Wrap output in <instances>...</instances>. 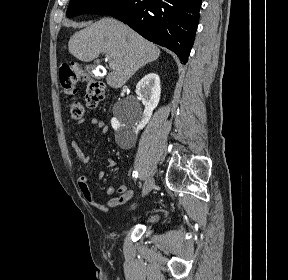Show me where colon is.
I'll list each match as a JSON object with an SVG mask.
<instances>
[{"label": "colon", "mask_w": 288, "mask_h": 280, "mask_svg": "<svg viewBox=\"0 0 288 280\" xmlns=\"http://www.w3.org/2000/svg\"><path fill=\"white\" fill-rule=\"evenodd\" d=\"M59 80L64 92L70 96L76 94L78 82H86L85 103L90 108L97 107L104 98V84L90 79L84 71L75 66L62 67L59 72ZM69 113L74 120H80L84 115V107L80 102L73 101L69 105Z\"/></svg>", "instance_id": "obj_1"}]
</instances>
